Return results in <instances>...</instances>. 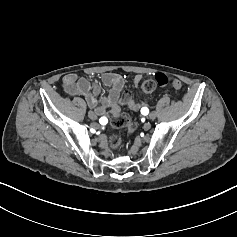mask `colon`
Here are the masks:
<instances>
[{"label": "colon", "mask_w": 237, "mask_h": 237, "mask_svg": "<svg viewBox=\"0 0 237 237\" xmlns=\"http://www.w3.org/2000/svg\"><path fill=\"white\" fill-rule=\"evenodd\" d=\"M168 82L169 79L165 74L158 73L155 75L153 80L148 79L143 81L141 84V90L144 93H151L155 89L156 85L165 86L168 84ZM178 84L179 83L175 80L172 81L173 86ZM110 122L115 128H125L129 134H132L137 128V124L132 121L127 114L121 112L118 107L110 112ZM108 143L112 149H117L122 143V138L118 135H111L109 137Z\"/></svg>", "instance_id": "colon-1"}]
</instances>
